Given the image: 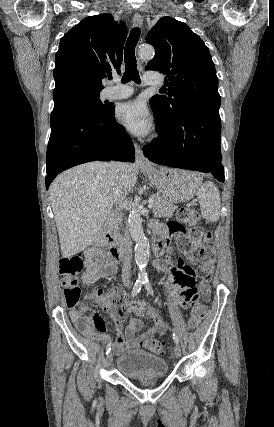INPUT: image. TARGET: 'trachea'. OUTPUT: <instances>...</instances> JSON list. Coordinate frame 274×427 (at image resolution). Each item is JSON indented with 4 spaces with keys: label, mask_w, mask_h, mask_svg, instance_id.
<instances>
[{
    "label": "trachea",
    "mask_w": 274,
    "mask_h": 427,
    "mask_svg": "<svg viewBox=\"0 0 274 427\" xmlns=\"http://www.w3.org/2000/svg\"><path fill=\"white\" fill-rule=\"evenodd\" d=\"M140 37L139 28H133L127 39L124 49V62L125 72L122 77V83H127L133 80L136 83H140L139 72L137 70V63L135 58V47Z\"/></svg>",
    "instance_id": "3493384b"
}]
</instances>
